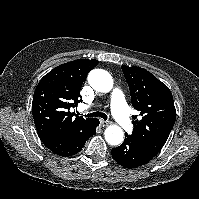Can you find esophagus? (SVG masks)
<instances>
[{
    "instance_id": "esophagus-1",
    "label": "esophagus",
    "mask_w": 199,
    "mask_h": 199,
    "mask_svg": "<svg viewBox=\"0 0 199 199\" xmlns=\"http://www.w3.org/2000/svg\"><path fill=\"white\" fill-rule=\"evenodd\" d=\"M100 124H101V126L106 127V126H108L110 124V122L109 121H105V120H100Z\"/></svg>"
}]
</instances>
